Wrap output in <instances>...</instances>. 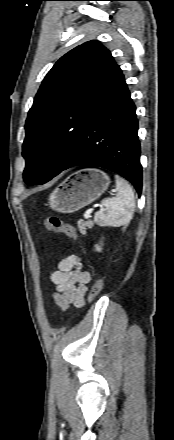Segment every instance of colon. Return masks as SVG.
<instances>
[{"instance_id":"5ec220e1","label":"colon","mask_w":174,"mask_h":440,"mask_svg":"<svg viewBox=\"0 0 174 440\" xmlns=\"http://www.w3.org/2000/svg\"><path fill=\"white\" fill-rule=\"evenodd\" d=\"M43 225L50 231L62 233L66 237L71 239L77 238L76 230L70 226L64 223L59 217L54 215L46 216L42 219ZM104 285V280L102 277H98L96 281L94 282L90 294H89V301L92 302L95 300V298L100 294L102 291Z\"/></svg>"}]
</instances>
